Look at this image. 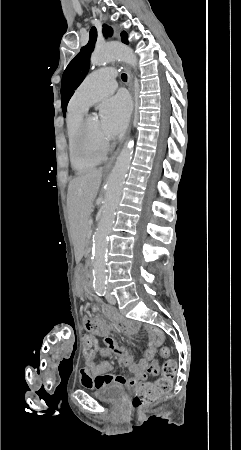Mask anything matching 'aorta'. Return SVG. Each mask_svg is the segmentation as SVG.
Segmentation results:
<instances>
[{
	"mask_svg": "<svg viewBox=\"0 0 241 450\" xmlns=\"http://www.w3.org/2000/svg\"><path fill=\"white\" fill-rule=\"evenodd\" d=\"M115 59H120L133 67L137 65L133 50L122 43L116 42L97 47L91 56V64L101 66ZM133 147V141L125 143L106 184L102 215L93 236L92 266L96 287H103L106 284L108 235L115 221L116 209L132 160Z\"/></svg>",
	"mask_w": 241,
	"mask_h": 450,
	"instance_id": "1",
	"label": "aorta"
}]
</instances>
